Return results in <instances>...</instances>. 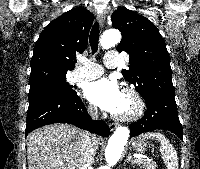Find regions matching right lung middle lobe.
I'll return each mask as SVG.
<instances>
[{"instance_id":"right-lung-middle-lobe-1","label":"right lung middle lobe","mask_w":200,"mask_h":169,"mask_svg":"<svg viewBox=\"0 0 200 169\" xmlns=\"http://www.w3.org/2000/svg\"><path fill=\"white\" fill-rule=\"evenodd\" d=\"M66 79H49L30 86L29 102L54 96L72 97L76 93Z\"/></svg>"}]
</instances>
